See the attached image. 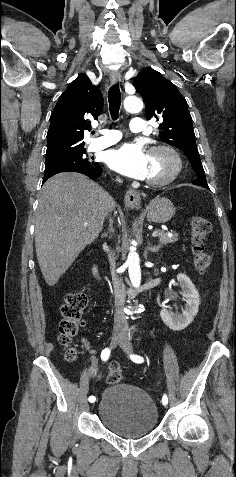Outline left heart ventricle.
<instances>
[{
  "label": "left heart ventricle",
  "mask_w": 236,
  "mask_h": 477,
  "mask_svg": "<svg viewBox=\"0 0 236 477\" xmlns=\"http://www.w3.org/2000/svg\"><path fill=\"white\" fill-rule=\"evenodd\" d=\"M172 169L170 159L161 152L150 155L149 154V179H158L167 175Z\"/></svg>",
  "instance_id": "obj_1"
}]
</instances>
